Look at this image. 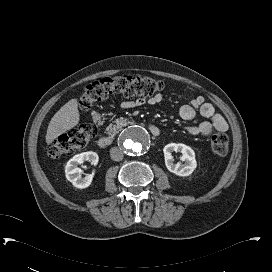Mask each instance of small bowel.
<instances>
[{
  "instance_id": "c3829d8e",
  "label": "small bowel",
  "mask_w": 272,
  "mask_h": 272,
  "mask_svg": "<svg viewBox=\"0 0 272 272\" xmlns=\"http://www.w3.org/2000/svg\"><path fill=\"white\" fill-rule=\"evenodd\" d=\"M161 100L162 96L157 94L149 98L147 101L139 99L132 102H124L122 104V108L129 109L145 103L149 105H156L160 103ZM179 115L184 120H192L197 115L204 119L197 125H189L185 127V133L191 136H208L213 131L225 132L228 130L226 120L222 115L215 112L213 105L206 102L203 96L190 95L189 103L180 107Z\"/></svg>"
}]
</instances>
